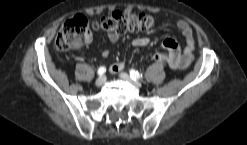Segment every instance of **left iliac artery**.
<instances>
[{
  "label": "left iliac artery",
  "instance_id": "obj_1",
  "mask_svg": "<svg viewBox=\"0 0 247 145\" xmlns=\"http://www.w3.org/2000/svg\"><path fill=\"white\" fill-rule=\"evenodd\" d=\"M130 76L133 80H136V79H141L143 76L141 74H139L138 71L134 70V69H131L130 70Z\"/></svg>",
  "mask_w": 247,
  "mask_h": 145
}]
</instances>
